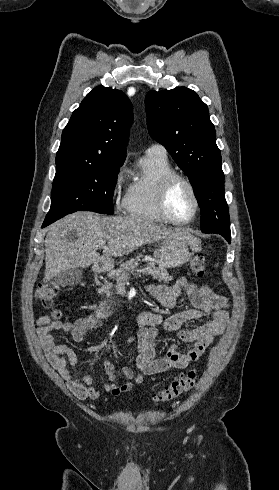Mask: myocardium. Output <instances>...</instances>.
I'll return each mask as SVG.
<instances>
[{
  "instance_id": "1",
  "label": "myocardium",
  "mask_w": 279,
  "mask_h": 490,
  "mask_svg": "<svg viewBox=\"0 0 279 490\" xmlns=\"http://www.w3.org/2000/svg\"><path fill=\"white\" fill-rule=\"evenodd\" d=\"M180 182L185 183L189 187L194 201L193 213L187 220L184 221L175 218L172 214L171 207H170L171 195L174 189L176 188V186ZM159 206L164 217L168 219L170 222L176 225H186L191 223L196 218L200 207L197 188L193 183V181L188 176L177 172H172L166 175L161 184V190L159 195Z\"/></svg>"
}]
</instances>
